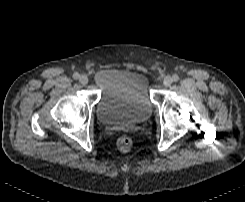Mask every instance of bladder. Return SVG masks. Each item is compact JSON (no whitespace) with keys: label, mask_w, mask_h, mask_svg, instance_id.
I'll return each instance as SVG.
<instances>
[{"label":"bladder","mask_w":245,"mask_h":202,"mask_svg":"<svg viewBox=\"0 0 245 202\" xmlns=\"http://www.w3.org/2000/svg\"><path fill=\"white\" fill-rule=\"evenodd\" d=\"M92 80L100 90L95 115L101 125L139 122L152 115L147 74L132 68H108L94 71Z\"/></svg>","instance_id":"1"}]
</instances>
